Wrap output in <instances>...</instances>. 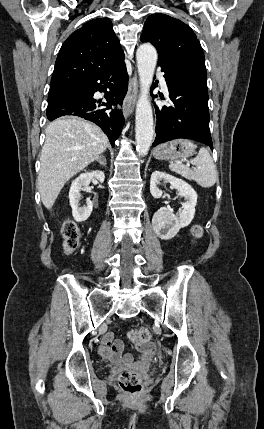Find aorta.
<instances>
[{"instance_id": "762f6f07", "label": "aorta", "mask_w": 264, "mask_h": 429, "mask_svg": "<svg viewBox=\"0 0 264 429\" xmlns=\"http://www.w3.org/2000/svg\"><path fill=\"white\" fill-rule=\"evenodd\" d=\"M157 51L149 43L141 44L136 52L137 68L141 91L136 105V149L140 156H145L154 138L153 112L149 100L150 87L157 63Z\"/></svg>"}]
</instances>
